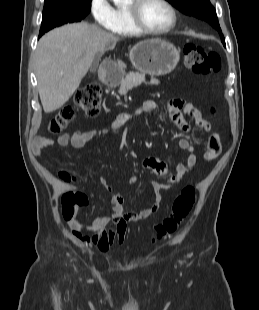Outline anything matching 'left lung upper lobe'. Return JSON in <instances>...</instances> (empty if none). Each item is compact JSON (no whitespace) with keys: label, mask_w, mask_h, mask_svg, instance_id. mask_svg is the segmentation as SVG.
Listing matches in <instances>:
<instances>
[{"label":"left lung upper lobe","mask_w":259,"mask_h":310,"mask_svg":"<svg viewBox=\"0 0 259 310\" xmlns=\"http://www.w3.org/2000/svg\"><path fill=\"white\" fill-rule=\"evenodd\" d=\"M181 12L207 21L224 39L214 7L210 0H167Z\"/></svg>","instance_id":"5c2ea615"}]
</instances>
